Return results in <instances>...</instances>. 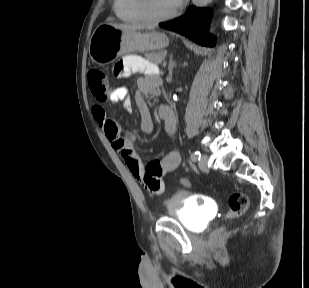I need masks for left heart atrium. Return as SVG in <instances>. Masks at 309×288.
<instances>
[{"instance_id": "obj_1", "label": "left heart atrium", "mask_w": 309, "mask_h": 288, "mask_svg": "<svg viewBox=\"0 0 309 288\" xmlns=\"http://www.w3.org/2000/svg\"><path fill=\"white\" fill-rule=\"evenodd\" d=\"M176 6L181 5V3L183 2V0H173Z\"/></svg>"}]
</instances>
